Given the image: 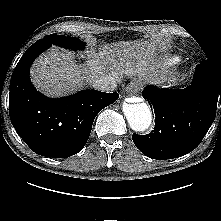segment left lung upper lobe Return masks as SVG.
Masks as SVG:
<instances>
[{
    "label": "left lung upper lobe",
    "mask_w": 221,
    "mask_h": 221,
    "mask_svg": "<svg viewBox=\"0 0 221 221\" xmlns=\"http://www.w3.org/2000/svg\"><path fill=\"white\" fill-rule=\"evenodd\" d=\"M204 62L209 64L208 60H203L201 63H204Z\"/></svg>",
    "instance_id": "left-lung-upper-lobe-1"
}]
</instances>
